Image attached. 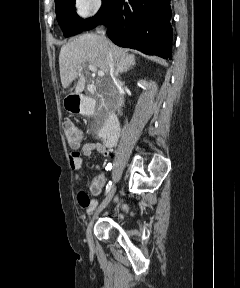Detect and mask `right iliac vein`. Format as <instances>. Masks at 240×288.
Listing matches in <instances>:
<instances>
[{"label":"right iliac vein","instance_id":"obj_1","mask_svg":"<svg viewBox=\"0 0 240 288\" xmlns=\"http://www.w3.org/2000/svg\"><path fill=\"white\" fill-rule=\"evenodd\" d=\"M116 187L113 186L110 191L108 192L107 196L103 200V202L100 204L98 209L96 210L94 216L92 217L91 221L88 224L87 231H86V236L89 244L93 243V237H92V226L94 223V220L97 218V216L107 207V205L110 203L112 200L114 193H115Z\"/></svg>","mask_w":240,"mask_h":288}]
</instances>
